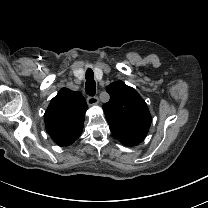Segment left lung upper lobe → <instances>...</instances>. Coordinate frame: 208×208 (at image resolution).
I'll return each mask as SVG.
<instances>
[{"mask_svg":"<svg viewBox=\"0 0 208 208\" xmlns=\"http://www.w3.org/2000/svg\"><path fill=\"white\" fill-rule=\"evenodd\" d=\"M110 100L102 106L110 128L148 133L151 115L138 92L119 80L107 86Z\"/></svg>","mask_w":208,"mask_h":208,"instance_id":"5c2ea615","label":"left lung upper lobe"}]
</instances>
